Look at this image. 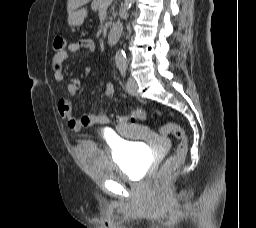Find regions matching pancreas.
Here are the masks:
<instances>
[{"instance_id": "cf45deb5", "label": "pancreas", "mask_w": 256, "mask_h": 228, "mask_svg": "<svg viewBox=\"0 0 256 228\" xmlns=\"http://www.w3.org/2000/svg\"><path fill=\"white\" fill-rule=\"evenodd\" d=\"M108 5L104 4L102 0H93L91 7L94 11H98L102 8H106Z\"/></svg>"}]
</instances>
